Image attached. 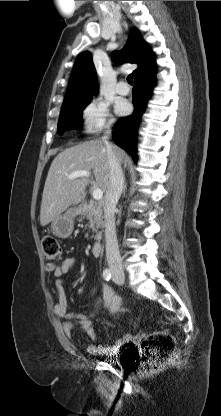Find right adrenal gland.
Here are the masks:
<instances>
[{"mask_svg":"<svg viewBox=\"0 0 221 416\" xmlns=\"http://www.w3.org/2000/svg\"><path fill=\"white\" fill-rule=\"evenodd\" d=\"M126 186H127V183H125V184H124V187H123V194H125V191H126Z\"/></svg>","mask_w":221,"mask_h":416,"instance_id":"obj_1","label":"right adrenal gland"}]
</instances>
